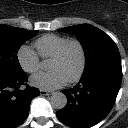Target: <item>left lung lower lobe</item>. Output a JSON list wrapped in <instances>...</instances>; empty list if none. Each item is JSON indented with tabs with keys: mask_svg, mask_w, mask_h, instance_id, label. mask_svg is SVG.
Listing matches in <instances>:
<instances>
[{
	"mask_svg": "<svg viewBox=\"0 0 128 128\" xmlns=\"http://www.w3.org/2000/svg\"><path fill=\"white\" fill-rule=\"evenodd\" d=\"M121 60H104L84 72L73 88L62 90L67 105L56 115L72 128H88L102 121L114 106L121 86Z\"/></svg>",
	"mask_w": 128,
	"mask_h": 128,
	"instance_id": "obj_1",
	"label": "left lung lower lobe"
}]
</instances>
